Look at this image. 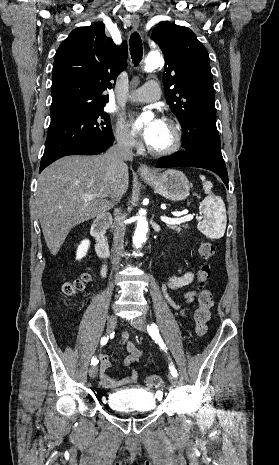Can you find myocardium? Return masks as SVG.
Segmentation results:
<instances>
[{"label":"myocardium","instance_id":"myocardium-1","mask_svg":"<svg viewBox=\"0 0 279 465\" xmlns=\"http://www.w3.org/2000/svg\"><path fill=\"white\" fill-rule=\"evenodd\" d=\"M163 122L168 124L172 128L173 133H174V141L168 148L163 149V150H155L151 148L147 143L146 149L148 153H150L151 155L155 157H164V156H169V155L176 153L180 149L182 145V141H183L182 128L177 121H175L172 118L166 117L163 119Z\"/></svg>","mask_w":279,"mask_h":465}]
</instances>
